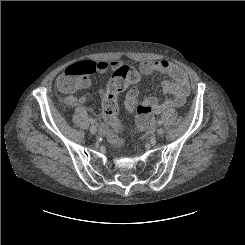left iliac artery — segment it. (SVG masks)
I'll list each match as a JSON object with an SVG mask.
<instances>
[{"label": "left iliac artery", "instance_id": "44dca946", "mask_svg": "<svg viewBox=\"0 0 245 245\" xmlns=\"http://www.w3.org/2000/svg\"><path fill=\"white\" fill-rule=\"evenodd\" d=\"M163 123L162 120H158V125H161Z\"/></svg>", "mask_w": 245, "mask_h": 245}]
</instances>
